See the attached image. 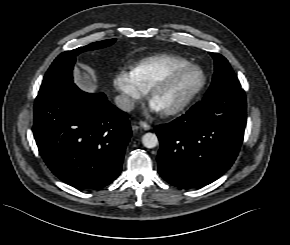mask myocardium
Masks as SVG:
<instances>
[{"mask_svg":"<svg viewBox=\"0 0 290 245\" xmlns=\"http://www.w3.org/2000/svg\"><path fill=\"white\" fill-rule=\"evenodd\" d=\"M190 70H195V71L200 73L201 80H200L199 84L192 90V92L187 97H185L177 105H175L169 109L162 110V112L165 116L177 115V114L183 112L184 110H186L194 102V100L199 96V94L203 91V89L205 88V86L207 84V75H206L205 71L203 70V68H201L200 66L195 65V64H188L185 66H181V67L175 68V69L159 76L158 78H156L152 82V84L148 88V90H147L148 97L152 100L155 93L161 87H163L165 84L169 83L175 77H177V76H179L187 71H190Z\"/></svg>","mask_w":290,"mask_h":245,"instance_id":"myocardium-1","label":"myocardium"}]
</instances>
